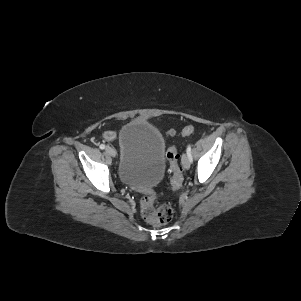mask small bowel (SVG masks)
Wrapping results in <instances>:
<instances>
[{"instance_id":"obj_1","label":"small bowel","mask_w":301,"mask_h":301,"mask_svg":"<svg viewBox=\"0 0 301 301\" xmlns=\"http://www.w3.org/2000/svg\"><path fill=\"white\" fill-rule=\"evenodd\" d=\"M168 135L169 136H173L174 135V131L173 130L168 131Z\"/></svg>"}]
</instances>
